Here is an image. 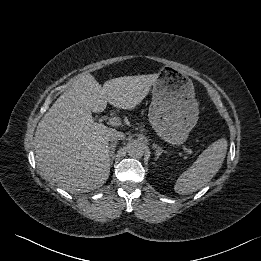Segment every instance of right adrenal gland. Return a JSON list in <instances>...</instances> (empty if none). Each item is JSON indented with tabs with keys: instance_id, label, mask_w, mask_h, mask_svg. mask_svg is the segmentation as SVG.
Masks as SVG:
<instances>
[{
	"instance_id": "1",
	"label": "right adrenal gland",
	"mask_w": 261,
	"mask_h": 261,
	"mask_svg": "<svg viewBox=\"0 0 261 261\" xmlns=\"http://www.w3.org/2000/svg\"><path fill=\"white\" fill-rule=\"evenodd\" d=\"M117 145V141H114L109 146V154H110V164L112 165L114 160L115 147Z\"/></svg>"
}]
</instances>
